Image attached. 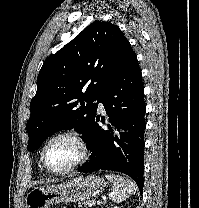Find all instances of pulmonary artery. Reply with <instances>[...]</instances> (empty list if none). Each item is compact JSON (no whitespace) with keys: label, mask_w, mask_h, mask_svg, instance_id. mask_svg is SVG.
<instances>
[{"label":"pulmonary artery","mask_w":199,"mask_h":208,"mask_svg":"<svg viewBox=\"0 0 199 208\" xmlns=\"http://www.w3.org/2000/svg\"><path fill=\"white\" fill-rule=\"evenodd\" d=\"M98 109H99L100 112L104 111V106H103L101 101H98Z\"/></svg>","instance_id":"1"}]
</instances>
